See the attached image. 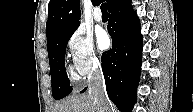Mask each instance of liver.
Here are the masks:
<instances>
[{"label":"liver","instance_id":"1","mask_svg":"<svg viewBox=\"0 0 193 112\" xmlns=\"http://www.w3.org/2000/svg\"><path fill=\"white\" fill-rule=\"evenodd\" d=\"M109 110H111L110 106ZM53 112H100V107L92 95L85 93L57 103Z\"/></svg>","mask_w":193,"mask_h":112}]
</instances>
